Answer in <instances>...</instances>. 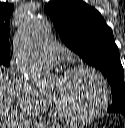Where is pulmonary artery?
I'll use <instances>...</instances> for the list:
<instances>
[{
    "label": "pulmonary artery",
    "mask_w": 125,
    "mask_h": 128,
    "mask_svg": "<svg viewBox=\"0 0 125 128\" xmlns=\"http://www.w3.org/2000/svg\"><path fill=\"white\" fill-rule=\"evenodd\" d=\"M65 55V49L54 43H47L42 46L40 56L41 58L49 63H58L62 60Z\"/></svg>",
    "instance_id": "pulmonary-artery-1"
}]
</instances>
